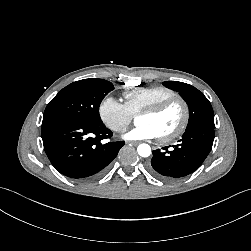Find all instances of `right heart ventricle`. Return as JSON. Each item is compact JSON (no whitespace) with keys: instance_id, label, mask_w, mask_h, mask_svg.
Masks as SVG:
<instances>
[{"instance_id":"e07e8e85","label":"right heart ventricle","mask_w":251,"mask_h":251,"mask_svg":"<svg viewBox=\"0 0 251 251\" xmlns=\"http://www.w3.org/2000/svg\"><path fill=\"white\" fill-rule=\"evenodd\" d=\"M173 96H176V93L172 89L161 85L149 86L124 93L125 105L133 115Z\"/></svg>"}]
</instances>
